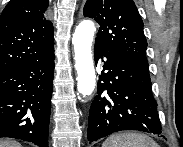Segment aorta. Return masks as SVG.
I'll list each match as a JSON object with an SVG mask.
<instances>
[{
  "label": "aorta",
  "instance_id": "1",
  "mask_svg": "<svg viewBox=\"0 0 183 147\" xmlns=\"http://www.w3.org/2000/svg\"><path fill=\"white\" fill-rule=\"evenodd\" d=\"M95 31V25L91 20H83L76 27L72 38L77 71V90L82 96L91 95L96 85L91 51Z\"/></svg>",
  "mask_w": 183,
  "mask_h": 147
}]
</instances>
